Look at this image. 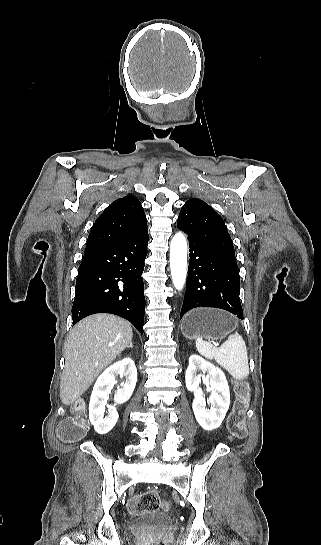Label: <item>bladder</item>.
<instances>
[{"label": "bladder", "instance_id": "bladder-1", "mask_svg": "<svg viewBox=\"0 0 321 545\" xmlns=\"http://www.w3.org/2000/svg\"><path fill=\"white\" fill-rule=\"evenodd\" d=\"M169 525L170 520L167 516L154 512H144L133 521L132 529L137 532H145L168 527Z\"/></svg>", "mask_w": 321, "mask_h": 545}]
</instances>
